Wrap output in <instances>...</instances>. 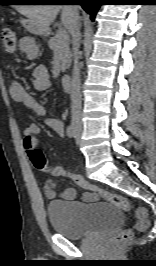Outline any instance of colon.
Returning <instances> with one entry per match:
<instances>
[{
	"label": "colon",
	"instance_id": "obj_1",
	"mask_svg": "<svg viewBox=\"0 0 156 266\" xmlns=\"http://www.w3.org/2000/svg\"><path fill=\"white\" fill-rule=\"evenodd\" d=\"M2 45L6 52L12 53L16 49L17 36L14 29L9 26L3 28L1 33ZM28 156L33 164V166L39 171H46L52 175L68 178L73 181L78 186L84 188L85 190L93 193L97 196L102 197L112 205L120 208L123 211H130L132 206L129 200L119 194L112 193L103 189L98 188L95 185L90 184L81 175L67 171L60 166L50 167L47 165L44 154L41 150L33 149L28 153ZM136 223L133 229H127L122 231L120 234L112 238L109 242L111 248L130 240L134 234V231H144L149 226L147 210L144 207H138L135 209Z\"/></svg>",
	"mask_w": 156,
	"mask_h": 266
}]
</instances>
